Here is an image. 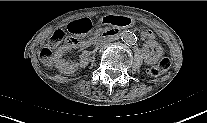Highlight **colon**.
<instances>
[{
    "instance_id": "colon-1",
    "label": "colon",
    "mask_w": 207,
    "mask_h": 123,
    "mask_svg": "<svg viewBox=\"0 0 207 123\" xmlns=\"http://www.w3.org/2000/svg\"><path fill=\"white\" fill-rule=\"evenodd\" d=\"M59 38L61 37L55 39L54 43H58ZM45 62H47V59H45ZM171 65H172L171 59L169 57H164L157 63V65L151 67L148 70V74L151 77H158L166 73L170 69Z\"/></svg>"
}]
</instances>
